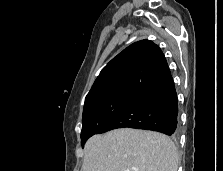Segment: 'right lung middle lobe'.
Here are the masks:
<instances>
[{"label":"right lung middle lobe","instance_id":"right-lung-middle-lobe-1","mask_svg":"<svg viewBox=\"0 0 223 171\" xmlns=\"http://www.w3.org/2000/svg\"><path fill=\"white\" fill-rule=\"evenodd\" d=\"M138 94L116 93L103 96L84 105L82 117L81 143L98 134L99 130Z\"/></svg>","mask_w":223,"mask_h":171}]
</instances>
